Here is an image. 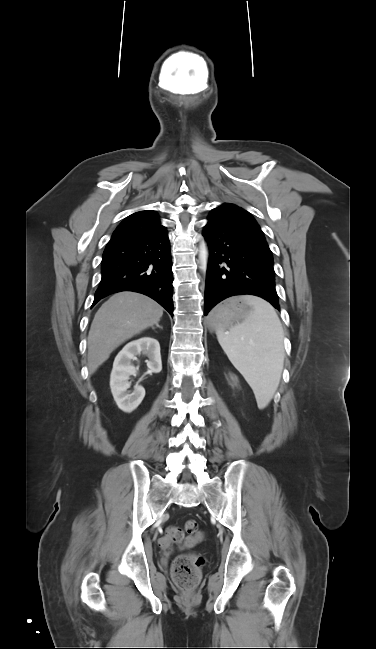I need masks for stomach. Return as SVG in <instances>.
Listing matches in <instances>:
<instances>
[{
  "mask_svg": "<svg viewBox=\"0 0 376 649\" xmlns=\"http://www.w3.org/2000/svg\"><path fill=\"white\" fill-rule=\"evenodd\" d=\"M252 312V306L242 300V297H233L218 305L211 313L209 322L212 329H224L241 323Z\"/></svg>",
  "mask_w": 376,
  "mask_h": 649,
  "instance_id": "stomach-1",
  "label": "stomach"
}]
</instances>
